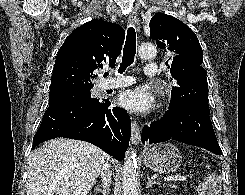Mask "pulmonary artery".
<instances>
[{
	"label": "pulmonary artery",
	"mask_w": 245,
	"mask_h": 195,
	"mask_svg": "<svg viewBox=\"0 0 245 195\" xmlns=\"http://www.w3.org/2000/svg\"><path fill=\"white\" fill-rule=\"evenodd\" d=\"M157 65L155 63H150L146 66L145 72H146V78H153L157 75L156 71ZM115 77L113 79H109L104 81L100 87L103 90L106 89H115V88H124L127 86H130L134 83V80L126 75L122 74H115Z\"/></svg>",
	"instance_id": "pulmonary-artery-1"
}]
</instances>
